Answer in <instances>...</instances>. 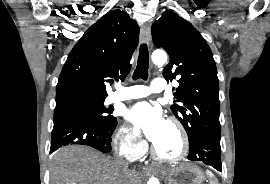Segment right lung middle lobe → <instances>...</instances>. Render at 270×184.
I'll return each mask as SVG.
<instances>
[{"label":"right lung middle lobe","instance_id":"1","mask_svg":"<svg viewBox=\"0 0 270 184\" xmlns=\"http://www.w3.org/2000/svg\"><path fill=\"white\" fill-rule=\"evenodd\" d=\"M105 98L84 96V95H66L56 98V107L54 114L62 112H77L89 117L104 128H111L117 123L116 117L109 115V109L104 106Z\"/></svg>","mask_w":270,"mask_h":184}]
</instances>
